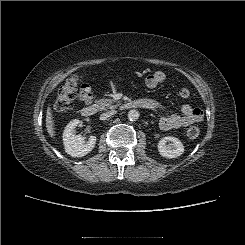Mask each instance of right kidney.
<instances>
[{
  "label": "right kidney",
  "instance_id": "right-kidney-1",
  "mask_svg": "<svg viewBox=\"0 0 245 245\" xmlns=\"http://www.w3.org/2000/svg\"><path fill=\"white\" fill-rule=\"evenodd\" d=\"M80 124V120L75 119L68 123L63 132V143L65 151L72 157H83L90 153L96 144V137L90 136L85 143L81 135H76L75 128Z\"/></svg>",
  "mask_w": 245,
  "mask_h": 245
}]
</instances>
